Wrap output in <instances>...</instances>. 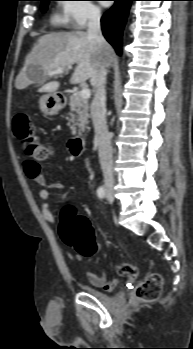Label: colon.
<instances>
[{
	"label": "colon",
	"instance_id": "5ec220e1",
	"mask_svg": "<svg viewBox=\"0 0 193 349\" xmlns=\"http://www.w3.org/2000/svg\"><path fill=\"white\" fill-rule=\"evenodd\" d=\"M14 132L30 158L28 162L40 166V163L51 157V146L36 136V128L29 116L19 114L15 117ZM60 235L67 245L74 247L82 255L90 256L98 251L96 236L89 220L74 215L70 209L63 213ZM161 288L162 277L154 273L140 283L136 289V296L140 301L151 302L160 296Z\"/></svg>",
	"mask_w": 193,
	"mask_h": 349
}]
</instances>
